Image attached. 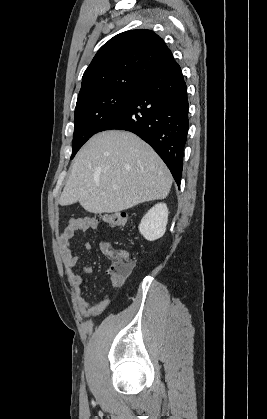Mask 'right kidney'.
Listing matches in <instances>:
<instances>
[{
    "instance_id": "ca27d5eb",
    "label": "right kidney",
    "mask_w": 267,
    "mask_h": 419,
    "mask_svg": "<svg viewBox=\"0 0 267 419\" xmlns=\"http://www.w3.org/2000/svg\"><path fill=\"white\" fill-rule=\"evenodd\" d=\"M168 208L165 203H158L142 218L139 231L149 241L161 238L168 222Z\"/></svg>"
}]
</instances>
